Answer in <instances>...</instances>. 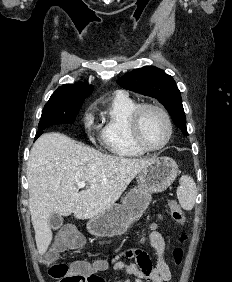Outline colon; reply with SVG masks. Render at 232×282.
<instances>
[{
	"label": "colon",
	"instance_id": "colon-1",
	"mask_svg": "<svg viewBox=\"0 0 232 282\" xmlns=\"http://www.w3.org/2000/svg\"><path fill=\"white\" fill-rule=\"evenodd\" d=\"M167 207L172 218L179 224L185 222L183 212L178 203L169 199ZM187 239L186 234H181L179 237L180 242H185ZM84 243L83 238L72 230H65L57 243L44 257V263L48 267L49 275L57 280V282H89L95 275L91 271L90 265L85 261H75L71 264L58 263L59 251L61 249H75L82 246ZM126 255H135L139 253V249H130L125 251ZM183 259V250L177 247L173 250V260L179 265Z\"/></svg>",
	"mask_w": 232,
	"mask_h": 282
}]
</instances>
